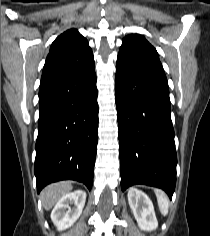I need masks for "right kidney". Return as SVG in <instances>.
Returning <instances> with one entry per match:
<instances>
[{"label":"right kidney","mask_w":210,"mask_h":236,"mask_svg":"<svg viewBox=\"0 0 210 236\" xmlns=\"http://www.w3.org/2000/svg\"><path fill=\"white\" fill-rule=\"evenodd\" d=\"M86 201V193L76 190L63 196L51 212V220L58 230L71 227L80 217Z\"/></svg>","instance_id":"right-kidney-1"}]
</instances>
